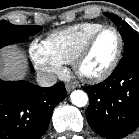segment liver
Listing matches in <instances>:
<instances>
[{"mask_svg":"<svg viewBox=\"0 0 139 139\" xmlns=\"http://www.w3.org/2000/svg\"><path fill=\"white\" fill-rule=\"evenodd\" d=\"M26 68V57L18 48L6 47L0 52V77L8 80L22 79Z\"/></svg>","mask_w":139,"mask_h":139,"instance_id":"liver-1","label":"liver"}]
</instances>
